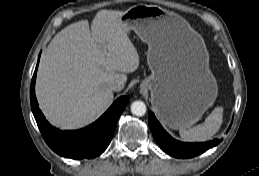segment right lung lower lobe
<instances>
[{
    "mask_svg": "<svg viewBox=\"0 0 259 176\" xmlns=\"http://www.w3.org/2000/svg\"><path fill=\"white\" fill-rule=\"evenodd\" d=\"M37 67L38 64L31 82L30 102L45 142L54 152L67 158L90 159L100 155L112 140L118 118L129 103V98L127 96L118 98L96 122L86 128L75 131L56 129L49 124L38 107L35 96Z\"/></svg>",
    "mask_w": 259,
    "mask_h": 176,
    "instance_id": "1",
    "label": "right lung lower lobe"
}]
</instances>
